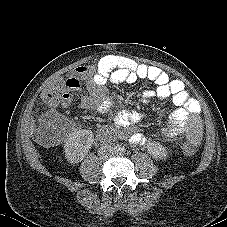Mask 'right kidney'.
I'll use <instances>...</instances> for the list:
<instances>
[{"label": "right kidney", "instance_id": "right-kidney-1", "mask_svg": "<svg viewBox=\"0 0 227 227\" xmlns=\"http://www.w3.org/2000/svg\"><path fill=\"white\" fill-rule=\"evenodd\" d=\"M94 141V135L91 130L82 129L70 133L64 144L65 158L71 164L81 162Z\"/></svg>", "mask_w": 227, "mask_h": 227}]
</instances>
